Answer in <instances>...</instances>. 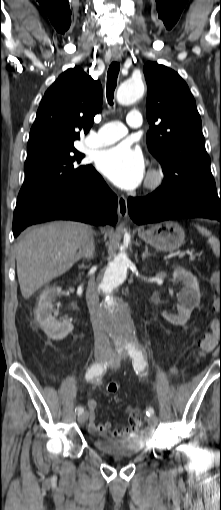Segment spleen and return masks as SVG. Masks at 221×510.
<instances>
[{"instance_id": "obj_1", "label": "spleen", "mask_w": 221, "mask_h": 510, "mask_svg": "<svg viewBox=\"0 0 221 510\" xmlns=\"http://www.w3.org/2000/svg\"><path fill=\"white\" fill-rule=\"evenodd\" d=\"M196 228L197 230L202 234V235H205L208 237V243L211 245L212 249H213V252L215 254L218 253V250H219V241L216 237L212 236L211 235V232L209 230H207L206 228L204 227H201L199 225H196Z\"/></svg>"}]
</instances>
